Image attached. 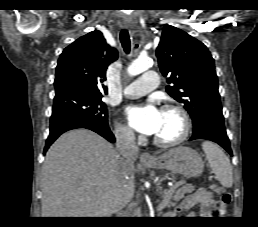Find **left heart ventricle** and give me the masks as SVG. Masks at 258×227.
I'll return each instance as SVG.
<instances>
[{
	"label": "left heart ventricle",
	"instance_id": "obj_1",
	"mask_svg": "<svg viewBox=\"0 0 258 227\" xmlns=\"http://www.w3.org/2000/svg\"><path fill=\"white\" fill-rule=\"evenodd\" d=\"M182 121L179 115L172 111H161L159 127L154 134L163 140H172L180 135Z\"/></svg>",
	"mask_w": 258,
	"mask_h": 227
}]
</instances>
